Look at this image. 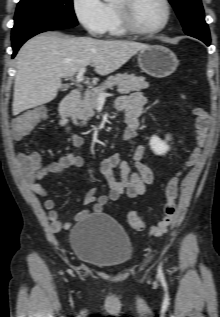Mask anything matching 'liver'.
Masks as SVG:
<instances>
[{"label":"liver","mask_w":220,"mask_h":317,"mask_svg":"<svg viewBox=\"0 0 220 317\" xmlns=\"http://www.w3.org/2000/svg\"><path fill=\"white\" fill-rule=\"evenodd\" d=\"M148 45L135 41L99 40L42 33L27 41L16 56L13 115L48 103L62 87L61 78L92 65L108 75Z\"/></svg>","instance_id":"liver-1"}]
</instances>
